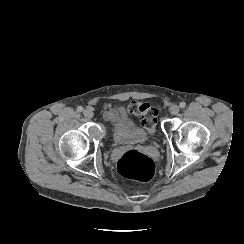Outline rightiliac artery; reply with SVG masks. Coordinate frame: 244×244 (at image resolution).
Returning a JSON list of instances; mask_svg holds the SVG:
<instances>
[{"instance_id":"82829eb1","label":"right iliac artery","mask_w":244,"mask_h":244,"mask_svg":"<svg viewBox=\"0 0 244 244\" xmlns=\"http://www.w3.org/2000/svg\"><path fill=\"white\" fill-rule=\"evenodd\" d=\"M77 111H78V112H82V111H83V107H82V106H78V107H77Z\"/></svg>"}]
</instances>
